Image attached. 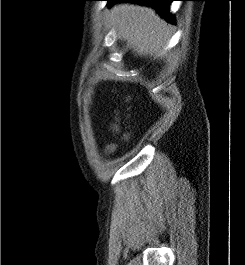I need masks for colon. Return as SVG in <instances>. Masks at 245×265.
I'll list each match as a JSON object with an SVG mask.
<instances>
[{"instance_id":"obj_1","label":"colon","mask_w":245,"mask_h":265,"mask_svg":"<svg viewBox=\"0 0 245 265\" xmlns=\"http://www.w3.org/2000/svg\"><path fill=\"white\" fill-rule=\"evenodd\" d=\"M114 129H115V130L118 129L117 124L114 125ZM113 149H114V145H109V146L107 147V150H109V151H111V150H113Z\"/></svg>"}]
</instances>
